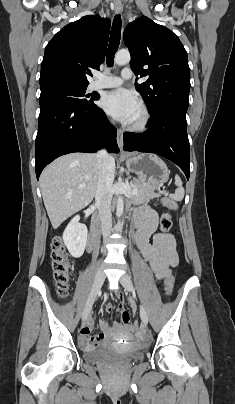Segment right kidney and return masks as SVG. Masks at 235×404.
Segmentation results:
<instances>
[{"mask_svg": "<svg viewBox=\"0 0 235 404\" xmlns=\"http://www.w3.org/2000/svg\"><path fill=\"white\" fill-rule=\"evenodd\" d=\"M79 216H75L67 225L63 233V241L69 253L79 258L83 255L87 241V227L79 223Z\"/></svg>", "mask_w": 235, "mask_h": 404, "instance_id": "1", "label": "right kidney"}]
</instances>
